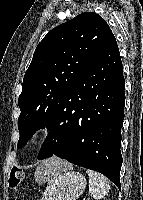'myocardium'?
Returning a JSON list of instances; mask_svg holds the SVG:
<instances>
[{"label": "myocardium", "instance_id": "f54148a6", "mask_svg": "<svg viewBox=\"0 0 143 200\" xmlns=\"http://www.w3.org/2000/svg\"><path fill=\"white\" fill-rule=\"evenodd\" d=\"M51 132V128L49 125L40 126L34 133V139L37 141L43 140L46 138Z\"/></svg>", "mask_w": 143, "mask_h": 200}]
</instances>
